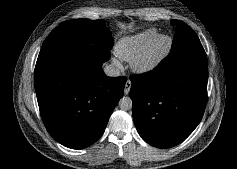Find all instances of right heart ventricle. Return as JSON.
Here are the masks:
<instances>
[{
	"mask_svg": "<svg viewBox=\"0 0 237 169\" xmlns=\"http://www.w3.org/2000/svg\"><path fill=\"white\" fill-rule=\"evenodd\" d=\"M158 33L156 28H150L137 34L123 37L115 47L118 57L125 61H132Z\"/></svg>",
	"mask_w": 237,
	"mask_h": 169,
	"instance_id": "right-heart-ventricle-1",
	"label": "right heart ventricle"
}]
</instances>
